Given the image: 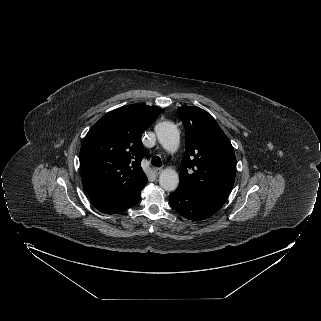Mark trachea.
<instances>
[{"label": "trachea", "instance_id": "trachea-1", "mask_svg": "<svg viewBox=\"0 0 321 321\" xmlns=\"http://www.w3.org/2000/svg\"><path fill=\"white\" fill-rule=\"evenodd\" d=\"M151 164L155 167H161L162 162H161L160 157H158V156L153 157L151 160Z\"/></svg>", "mask_w": 321, "mask_h": 321}]
</instances>
